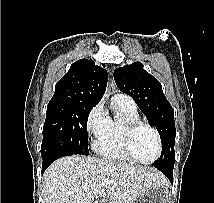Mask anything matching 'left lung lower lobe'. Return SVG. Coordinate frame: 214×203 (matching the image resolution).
<instances>
[{
  "mask_svg": "<svg viewBox=\"0 0 214 203\" xmlns=\"http://www.w3.org/2000/svg\"><path fill=\"white\" fill-rule=\"evenodd\" d=\"M155 168H157L162 173H164L168 177L170 182L173 183V168H174V166H171V167H155Z\"/></svg>",
  "mask_w": 214,
  "mask_h": 203,
  "instance_id": "1",
  "label": "left lung lower lobe"
}]
</instances>
